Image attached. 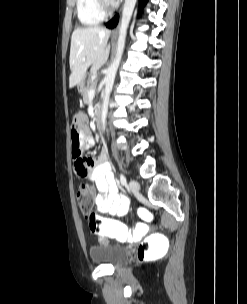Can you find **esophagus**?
I'll use <instances>...</instances> for the list:
<instances>
[{
    "label": "esophagus",
    "instance_id": "34e87169",
    "mask_svg": "<svg viewBox=\"0 0 247 304\" xmlns=\"http://www.w3.org/2000/svg\"><path fill=\"white\" fill-rule=\"evenodd\" d=\"M117 33H118L117 28L113 29V31H112V35H113V36H117Z\"/></svg>",
    "mask_w": 247,
    "mask_h": 304
}]
</instances>
